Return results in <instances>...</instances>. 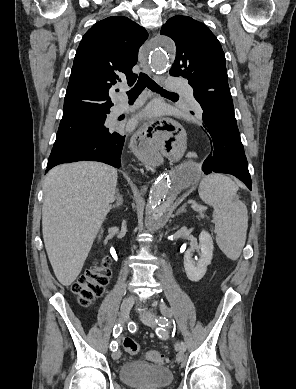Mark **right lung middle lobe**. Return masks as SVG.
<instances>
[{
    "instance_id": "right-lung-middle-lobe-1",
    "label": "right lung middle lobe",
    "mask_w": 296,
    "mask_h": 389,
    "mask_svg": "<svg viewBox=\"0 0 296 389\" xmlns=\"http://www.w3.org/2000/svg\"><path fill=\"white\" fill-rule=\"evenodd\" d=\"M107 114L108 113H81L62 117L54 147L93 137L100 133L110 132L109 129L104 126Z\"/></svg>"
}]
</instances>
